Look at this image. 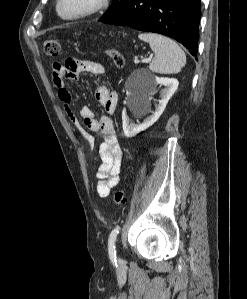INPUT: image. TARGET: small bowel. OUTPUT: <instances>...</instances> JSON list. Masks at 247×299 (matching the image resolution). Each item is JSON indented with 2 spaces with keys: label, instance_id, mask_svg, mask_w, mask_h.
I'll return each instance as SVG.
<instances>
[{
  "label": "small bowel",
  "instance_id": "1",
  "mask_svg": "<svg viewBox=\"0 0 247 299\" xmlns=\"http://www.w3.org/2000/svg\"><path fill=\"white\" fill-rule=\"evenodd\" d=\"M84 71L102 75L105 73V68L101 63L79 59H67L64 64L58 62L52 64L53 83L58 89V95L64 104L65 112L88 147L92 148L94 137L84 129L74 114L72 94L65 86V79L78 81ZM95 98L104 109L105 114L100 119H96L93 110L88 106H83L80 110V116L85 127L102 135V142L99 147L101 164L97 169L96 176L99 179L97 193L100 197L105 198L119 183L122 168L123 151L118 142L112 119L118 103V94L106 85H100L95 92Z\"/></svg>",
  "mask_w": 247,
  "mask_h": 299
}]
</instances>
